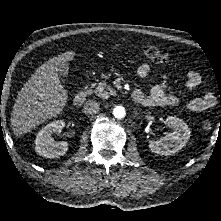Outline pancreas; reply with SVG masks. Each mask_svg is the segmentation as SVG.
<instances>
[{
    "mask_svg": "<svg viewBox=\"0 0 221 221\" xmlns=\"http://www.w3.org/2000/svg\"><path fill=\"white\" fill-rule=\"evenodd\" d=\"M94 89L93 91L98 97L107 99L110 95H115L116 91L109 86L106 87V82H99L98 85L96 86L95 84L92 85Z\"/></svg>",
    "mask_w": 221,
    "mask_h": 221,
    "instance_id": "1",
    "label": "pancreas"
}]
</instances>
